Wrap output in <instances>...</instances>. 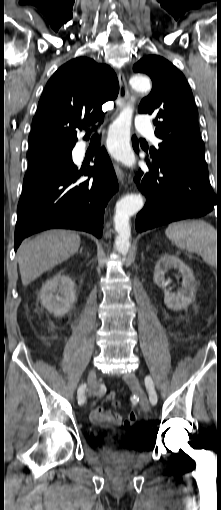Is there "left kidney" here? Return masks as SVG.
I'll return each mask as SVG.
<instances>
[{"label": "left kidney", "instance_id": "5707ae66", "mask_svg": "<svg viewBox=\"0 0 221 510\" xmlns=\"http://www.w3.org/2000/svg\"><path fill=\"white\" fill-rule=\"evenodd\" d=\"M170 268L179 269L183 280L182 287L177 292H170L171 288L164 290V303L172 310H181L187 307L193 299L196 281L192 270L174 255H164L156 263L154 282L161 288L166 287L165 274Z\"/></svg>", "mask_w": 221, "mask_h": 510}]
</instances>
